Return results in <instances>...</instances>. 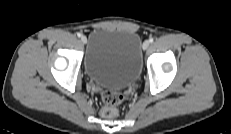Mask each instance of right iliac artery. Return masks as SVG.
Masks as SVG:
<instances>
[{
    "mask_svg": "<svg viewBox=\"0 0 231 134\" xmlns=\"http://www.w3.org/2000/svg\"><path fill=\"white\" fill-rule=\"evenodd\" d=\"M77 36H78V37H81V36H82V34H81V33H77Z\"/></svg>",
    "mask_w": 231,
    "mask_h": 134,
    "instance_id": "obj_1",
    "label": "right iliac artery"
}]
</instances>
